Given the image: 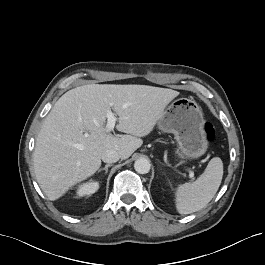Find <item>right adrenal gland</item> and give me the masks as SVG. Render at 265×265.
<instances>
[{
  "label": "right adrenal gland",
  "mask_w": 265,
  "mask_h": 265,
  "mask_svg": "<svg viewBox=\"0 0 265 265\" xmlns=\"http://www.w3.org/2000/svg\"><path fill=\"white\" fill-rule=\"evenodd\" d=\"M110 166H112V165H111V164H106L104 168H100V169L98 170V173H100L101 171H105V174H107V172H108V168H109Z\"/></svg>",
  "instance_id": "2a0ac1e0"
}]
</instances>
